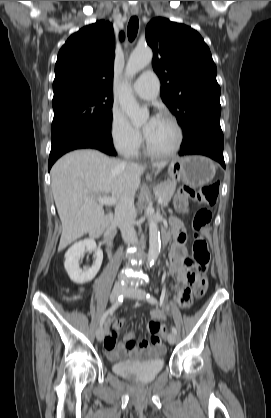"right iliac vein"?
Returning a JSON list of instances; mask_svg holds the SVG:
<instances>
[{
    "label": "right iliac vein",
    "instance_id": "obj_1",
    "mask_svg": "<svg viewBox=\"0 0 271 418\" xmlns=\"http://www.w3.org/2000/svg\"><path fill=\"white\" fill-rule=\"evenodd\" d=\"M124 292L123 287L116 285L113 287L111 295H110V301L115 302L121 294ZM105 335V330L102 326H100L96 331V338L99 342L103 341Z\"/></svg>",
    "mask_w": 271,
    "mask_h": 418
}]
</instances>
